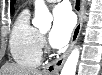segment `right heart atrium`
Here are the masks:
<instances>
[{"label": "right heart atrium", "mask_w": 102, "mask_h": 75, "mask_svg": "<svg viewBox=\"0 0 102 75\" xmlns=\"http://www.w3.org/2000/svg\"><path fill=\"white\" fill-rule=\"evenodd\" d=\"M42 46L45 47V41L42 39Z\"/></svg>", "instance_id": "1"}]
</instances>
